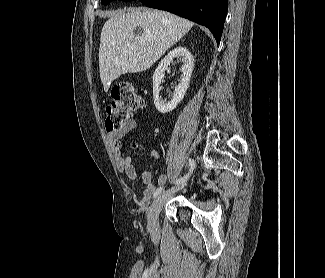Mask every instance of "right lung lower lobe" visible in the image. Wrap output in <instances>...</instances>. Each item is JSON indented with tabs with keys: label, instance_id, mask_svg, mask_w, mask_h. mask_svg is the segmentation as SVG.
I'll return each mask as SVG.
<instances>
[{
	"label": "right lung lower lobe",
	"instance_id": "98d812e1",
	"mask_svg": "<svg viewBox=\"0 0 325 278\" xmlns=\"http://www.w3.org/2000/svg\"><path fill=\"white\" fill-rule=\"evenodd\" d=\"M148 7L169 11L206 26L220 42L228 0H139Z\"/></svg>",
	"mask_w": 325,
	"mask_h": 278
}]
</instances>
